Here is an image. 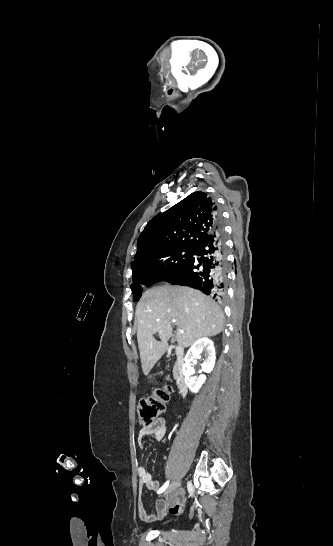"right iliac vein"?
<instances>
[{
    "label": "right iliac vein",
    "instance_id": "right-iliac-vein-1",
    "mask_svg": "<svg viewBox=\"0 0 333 546\" xmlns=\"http://www.w3.org/2000/svg\"><path fill=\"white\" fill-rule=\"evenodd\" d=\"M179 485H180V480H176L172 482L170 486L167 488V490L165 491L164 496L174 492L179 487Z\"/></svg>",
    "mask_w": 333,
    "mask_h": 546
}]
</instances>
